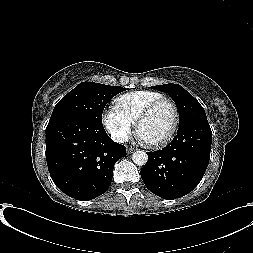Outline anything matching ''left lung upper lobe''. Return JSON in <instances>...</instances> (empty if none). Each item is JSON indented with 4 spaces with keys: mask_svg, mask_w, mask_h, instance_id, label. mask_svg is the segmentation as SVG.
<instances>
[{
    "mask_svg": "<svg viewBox=\"0 0 253 253\" xmlns=\"http://www.w3.org/2000/svg\"><path fill=\"white\" fill-rule=\"evenodd\" d=\"M153 88L168 93L175 101L179 112V126L193 120H207L204 108L182 86L169 83Z\"/></svg>",
    "mask_w": 253,
    "mask_h": 253,
    "instance_id": "left-lung-upper-lobe-1",
    "label": "left lung upper lobe"
}]
</instances>
